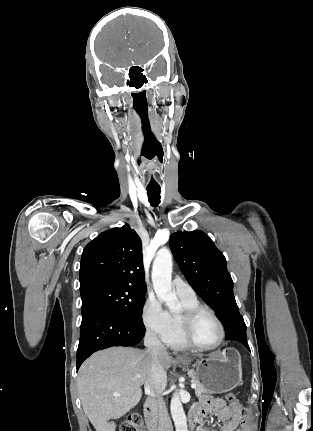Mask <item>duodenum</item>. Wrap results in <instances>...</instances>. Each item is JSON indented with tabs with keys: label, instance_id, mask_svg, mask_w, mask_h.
<instances>
[{
	"label": "duodenum",
	"instance_id": "1",
	"mask_svg": "<svg viewBox=\"0 0 313 431\" xmlns=\"http://www.w3.org/2000/svg\"><path fill=\"white\" fill-rule=\"evenodd\" d=\"M145 418L149 431H167L161 424V419L158 415L157 403L154 398H148L145 404ZM190 424L195 426L198 423V417L194 413H190Z\"/></svg>",
	"mask_w": 313,
	"mask_h": 431
}]
</instances>
